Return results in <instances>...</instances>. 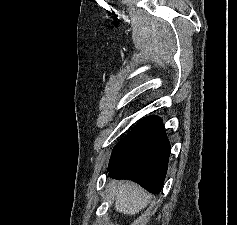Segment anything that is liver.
<instances>
[{"mask_svg":"<svg viewBox=\"0 0 237 225\" xmlns=\"http://www.w3.org/2000/svg\"><path fill=\"white\" fill-rule=\"evenodd\" d=\"M115 209L125 215H135L150 201V195L132 182H123L114 188Z\"/></svg>","mask_w":237,"mask_h":225,"instance_id":"6515ba94","label":"liver"}]
</instances>
